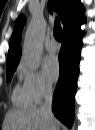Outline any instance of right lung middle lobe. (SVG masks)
Masks as SVG:
<instances>
[{
    "instance_id": "1",
    "label": "right lung middle lobe",
    "mask_w": 95,
    "mask_h": 130,
    "mask_svg": "<svg viewBox=\"0 0 95 130\" xmlns=\"http://www.w3.org/2000/svg\"><path fill=\"white\" fill-rule=\"evenodd\" d=\"M14 69H9V70H6L7 71V75H6V79L9 81L11 80L12 76H13V73H14Z\"/></svg>"
}]
</instances>
